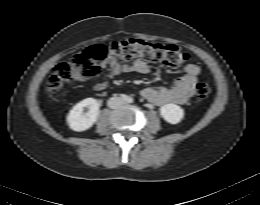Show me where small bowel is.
<instances>
[{
  "label": "small bowel",
  "instance_id": "small-bowel-1",
  "mask_svg": "<svg viewBox=\"0 0 260 205\" xmlns=\"http://www.w3.org/2000/svg\"><path fill=\"white\" fill-rule=\"evenodd\" d=\"M102 68L105 70L103 80L93 83L96 91H104L109 81L121 74L130 72L147 74L150 71L148 63L144 60L137 59L131 64H126L118 62L113 55H108L102 61ZM200 72L198 65L189 63L184 68V75L174 80L168 87L145 88L142 90V96L158 106L169 103L185 105L194 94Z\"/></svg>",
  "mask_w": 260,
  "mask_h": 205
}]
</instances>
